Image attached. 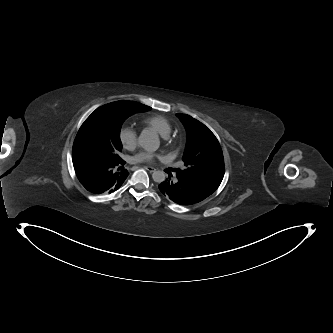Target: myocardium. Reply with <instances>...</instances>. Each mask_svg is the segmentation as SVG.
I'll use <instances>...</instances> for the list:
<instances>
[{
  "label": "myocardium",
  "mask_w": 333,
  "mask_h": 333,
  "mask_svg": "<svg viewBox=\"0 0 333 333\" xmlns=\"http://www.w3.org/2000/svg\"><path fill=\"white\" fill-rule=\"evenodd\" d=\"M162 136V135H161ZM164 138L165 145H169V138L166 136H162Z\"/></svg>",
  "instance_id": "1"
}]
</instances>
